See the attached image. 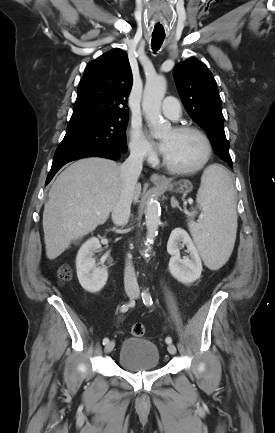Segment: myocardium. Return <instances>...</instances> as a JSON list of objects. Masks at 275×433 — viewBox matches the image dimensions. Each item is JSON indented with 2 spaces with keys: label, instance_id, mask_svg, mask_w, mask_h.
Segmentation results:
<instances>
[{
  "label": "myocardium",
  "instance_id": "f54148a6",
  "mask_svg": "<svg viewBox=\"0 0 275 433\" xmlns=\"http://www.w3.org/2000/svg\"><path fill=\"white\" fill-rule=\"evenodd\" d=\"M173 130L177 133H194L198 135L205 144V155L202 161L190 168H180L172 165L165 155H163V164L164 166L172 173L179 174V175H190L195 174L199 171H201L210 161L212 154H213V145L209 138V136L200 128L190 125H179L175 126Z\"/></svg>",
  "mask_w": 275,
  "mask_h": 433
}]
</instances>
